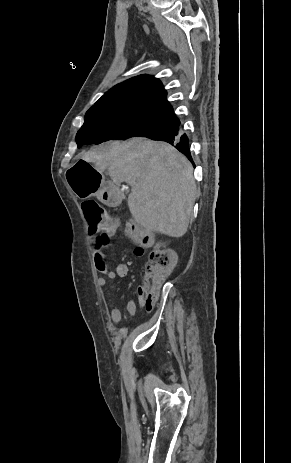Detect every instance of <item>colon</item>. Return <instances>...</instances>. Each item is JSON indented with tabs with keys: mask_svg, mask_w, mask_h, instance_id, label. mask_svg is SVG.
Listing matches in <instances>:
<instances>
[{
	"mask_svg": "<svg viewBox=\"0 0 291 463\" xmlns=\"http://www.w3.org/2000/svg\"><path fill=\"white\" fill-rule=\"evenodd\" d=\"M82 210L93 233L117 229L109 212L94 200H85ZM125 235L143 249H150L143 282V292L146 298V308L150 311L156 298L157 290L162 281L171 273L176 265V254L173 250L155 244L151 234L133 221L124 226Z\"/></svg>",
	"mask_w": 291,
	"mask_h": 463,
	"instance_id": "5ec220e1",
	"label": "colon"
}]
</instances>
